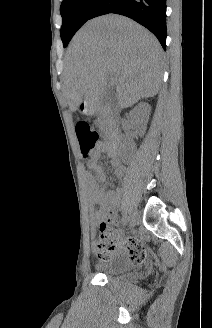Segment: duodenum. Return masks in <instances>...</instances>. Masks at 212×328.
<instances>
[{"label":"duodenum","instance_id":"1","mask_svg":"<svg viewBox=\"0 0 212 328\" xmlns=\"http://www.w3.org/2000/svg\"><path fill=\"white\" fill-rule=\"evenodd\" d=\"M85 108L89 113H103L107 118L112 119L113 113L109 109H101L96 103H85ZM120 139L117 128L112 127L105 143V152L116 158L119 153Z\"/></svg>","mask_w":212,"mask_h":328}]
</instances>
